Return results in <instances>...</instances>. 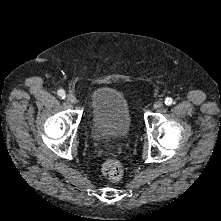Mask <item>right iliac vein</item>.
<instances>
[{"mask_svg":"<svg viewBox=\"0 0 221 221\" xmlns=\"http://www.w3.org/2000/svg\"><path fill=\"white\" fill-rule=\"evenodd\" d=\"M66 100L71 104L76 103V97L73 94H68L67 97H66Z\"/></svg>","mask_w":221,"mask_h":221,"instance_id":"1","label":"right iliac vein"}]
</instances>
